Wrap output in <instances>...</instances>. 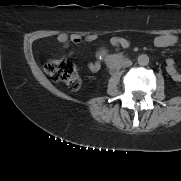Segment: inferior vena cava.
I'll list each match as a JSON object with an SVG mask.
<instances>
[{
	"label": "inferior vena cava",
	"mask_w": 181,
	"mask_h": 181,
	"mask_svg": "<svg viewBox=\"0 0 181 181\" xmlns=\"http://www.w3.org/2000/svg\"><path fill=\"white\" fill-rule=\"evenodd\" d=\"M132 65V61L130 60H125L120 64V67H130Z\"/></svg>",
	"instance_id": "obj_1"
}]
</instances>
